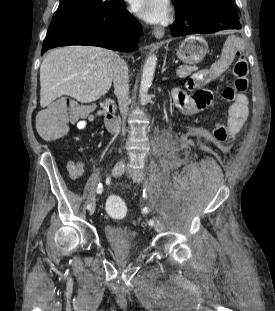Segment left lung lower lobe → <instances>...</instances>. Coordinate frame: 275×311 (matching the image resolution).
I'll return each mask as SVG.
<instances>
[{
    "label": "left lung lower lobe",
    "instance_id": "0a47b994",
    "mask_svg": "<svg viewBox=\"0 0 275 311\" xmlns=\"http://www.w3.org/2000/svg\"><path fill=\"white\" fill-rule=\"evenodd\" d=\"M175 7V21L170 27L171 35L174 37L241 29L238 14L228 5L201 2L186 9Z\"/></svg>",
    "mask_w": 275,
    "mask_h": 311
}]
</instances>
